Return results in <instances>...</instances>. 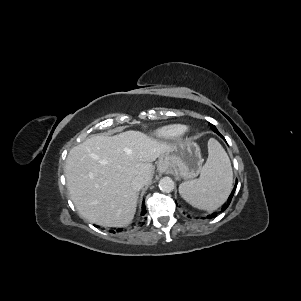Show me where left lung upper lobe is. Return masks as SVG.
I'll list each match as a JSON object with an SVG mask.
<instances>
[{"mask_svg": "<svg viewBox=\"0 0 301 301\" xmlns=\"http://www.w3.org/2000/svg\"><path fill=\"white\" fill-rule=\"evenodd\" d=\"M209 125L213 131L216 129V127L213 124L209 123Z\"/></svg>", "mask_w": 301, "mask_h": 301, "instance_id": "5c2ea615", "label": "left lung upper lobe"}]
</instances>
